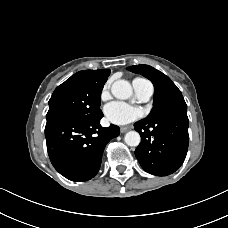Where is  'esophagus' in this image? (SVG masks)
Masks as SVG:
<instances>
[{"instance_id": "obj_1", "label": "esophagus", "mask_w": 228, "mask_h": 228, "mask_svg": "<svg viewBox=\"0 0 228 228\" xmlns=\"http://www.w3.org/2000/svg\"><path fill=\"white\" fill-rule=\"evenodd\" d=\"M129 130V127H121L120 128V132L121 133H125V132H127Z\"/></svg>"}]
</instances>
